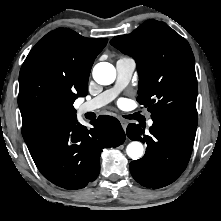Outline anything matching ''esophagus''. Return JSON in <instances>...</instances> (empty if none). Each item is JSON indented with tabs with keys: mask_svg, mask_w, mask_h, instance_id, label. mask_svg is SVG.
Returning <instances> with one entry per match:
<instances>
[{
	"mask_svg": "<svg viewBox=\"0 0 221 221\" xmlns=\"http://www.w3.org/2000/svg\"><path fill=\"white\" fill-rule=\"evenodd\" d=\"M120 122H121V125H122L123 129L126 130L128 122L126 120H123V119H121Z\"/></svg>",
	"mask_w": 221,
	"mask_h": 221,
	"instance_id": "esophagus-1",
	"label": "esophagus"
}]
</instances>
